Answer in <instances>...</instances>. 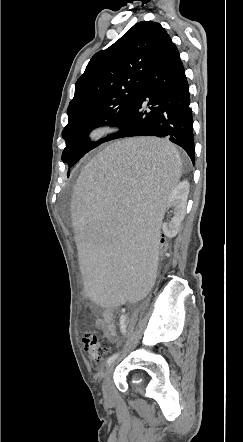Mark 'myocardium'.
Wrapping results in <instances>:
<instances>
[{
  "instance_id": "myocardium-1",
  "label": "myocardium",
  "mask_w": 243,
  "mask_h": 442,
  "mask_svg": "<svg viewBox=\"0 0 243 442\" xmlns=\"http://www.w3.org/2000/svg\"><path fill=\"white\" fill-rule=\"evenodd\" d=\"M114 131L115 128L111 122L102 121L90 126L85 133V137L89 142L95 143L109 137Z\"/></svg>"
}]
</instances>
